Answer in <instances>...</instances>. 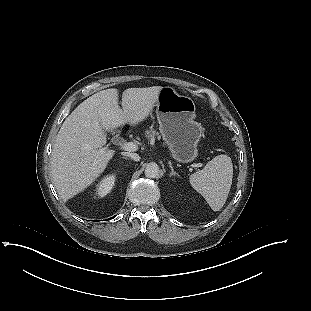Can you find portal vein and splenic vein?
<instances>
[{
	"label": "portal vein and splenic vein",
	"instance_id": "1",
	"mask_svg": "<svg viewBox=\"0 0 311 311\" xmlns=\"http://www.w3.org/2000/svg\"><path fill=\"white\" fill-rule=\"evenodd\" d=\"M121 149L125 151H130V152L136 151L138 149V145L134 144L133 142H127L121 145Z\"/></svg>",
	"mask_w": 311,
	"mask_h": 311
}]
</instances>
